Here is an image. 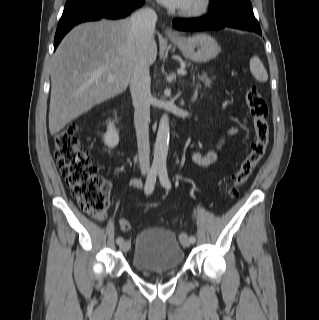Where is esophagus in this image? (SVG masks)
Instances as JSON below:
<instances>
[{"mask_svg": "<svg viewBox=\"0 0 319 320\" xmlns=\"http://www.w3.org/2000/svg\"><path fill=\"white\" fill-rule=\"evenodd\" d=\"M165 34L168 38H174L176 37V33L172 30V28L167 27L165 30Z\"/></svg>", "mask_w": 319, "mask_h": 320, "instance_id": "34e87169", "label": "esophagus"}]
</instances>
